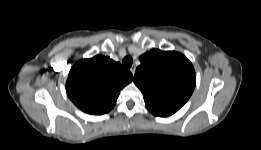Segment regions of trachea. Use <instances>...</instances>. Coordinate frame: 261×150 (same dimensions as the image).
Masks as SVG:
<instances>
[{
  "label": "trachea",
  "mask_w": 261,
  "mask_h": 150,
  "mask_svg": "<svg viewBox=\"0 0 261 150\" xmlns=\"http://www.w3.org/2000/svg\"><path fill=\"white\" fill-rule=\"evenodd\" d=\"M133 63V59L131 56H126L123 60H122V64L124 67L126 68H130L132 66Z\"/></svg>",
  "instance_id": "1"
}]
</instances>
